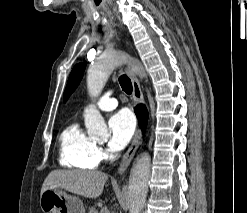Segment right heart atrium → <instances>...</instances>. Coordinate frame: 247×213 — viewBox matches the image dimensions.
Masks as SVG:
<instances>
[{
    "label": "right heart atrium",
    "instance_id": "obj_1",
    "mask_svg": "<svg viewBox=\"0 0 247 213\" xmlns=\"http://www.w3.org/2000/svg\"><path fill=\"white\" fill-rule=\"evenodd\" d=\"M96 154L99 159V162L107 158V154L101 147H96Z\"/></svg>",
    "mask_w": 247,
    "mask_h": 213
}]
</instances>
